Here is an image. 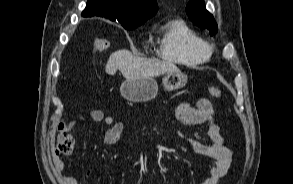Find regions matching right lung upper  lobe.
I'll return each mask as SVG.
<instances>
[{
  "label": "right lung upper lobe",
  "mask_w": 293,
  "mask_h": 184,
  "mask_svg": "<svg viewBox=\"0 0 293 184\" xmlns=\"http://www.w3.org/2000/svg\"><path fill=\"white\" fill-rule=\"evenodd\" d=\"M157 11L156 0H88L82 16L96 15L127 24L145 22Z\"/></svg>",
  "instance_id": "cb5924a9"
}]
</instances>
